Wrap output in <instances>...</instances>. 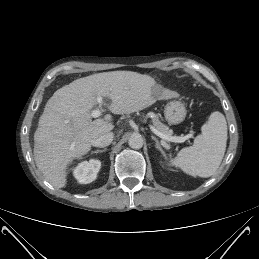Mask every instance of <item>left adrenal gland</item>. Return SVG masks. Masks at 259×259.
I'll use <instances>...</instances> for the list:
<instances>
[{
    "label": "left adrenal gland",
    "mask_w": 259,
    "mask_h": 259,
    "mask_svg": "<svg viewBox=\"0 0 259 259\" xmlns=\"http://www.w3.org/2000/svg\"><path fill=\"white\" fill-rule=\"evenodd\" d=\"M151 138H152V139L155 141V143H156V149L162 154V156L164 157V159H166V154H165L164 150L162 149V147H161L159 141L157 140V138L154 137V136H151Z\"/></svg>",
    "instance_id": "a2214340"
}]
</instances>
